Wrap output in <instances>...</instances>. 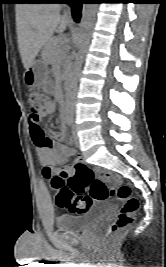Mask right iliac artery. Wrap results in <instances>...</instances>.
<instances>
[{"mask_svg":"<svg viewBox=\"0 0 166 267\" xmlns=\"http://www.w3.org/2000/svg\"><path fill=\"white\" fill-rule=\"evenodd\" d=\"M64 120H65V123L68 126H71V124H72V116L70 114H66Z\"/></svg>","mask_w":166,"mask_h":267,"instance_id":"1","label":"right iliac artery"}]
</instances>
